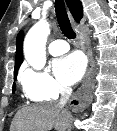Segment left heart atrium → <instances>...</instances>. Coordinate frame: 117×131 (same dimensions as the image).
Returning a JSON list of instances; mask_svg holds the SVG:
<instances>
[{
    "mask_svg": "<svg viewBox=\"0 0 117 131\" xmlns=\"http://www.w3.org/2000/svg\"><path fill=\"white\" fill-rule=\"evenodd\" d=\"M53 70L62 83L72 85L82 77L85 70V60L79 53H71L56 60Z\"/></svg>",
    "mask_w": 117,
    "mask_h": 131,
    "instance_id": "39dd6f15",
    "label": "left heart atrium"
}]
</instances>
